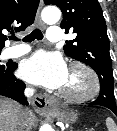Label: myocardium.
<instances>
[{"instance_id":"obj_1","label":"myocardium","mask_w":117,"mask_h":131,"mask_svg":"<svg viewBox=\"0 0 117 131\" xmlns=\"http://www.w3.org/2000/svg\"><path fill=\"white\" fill-rule=\"evenodd\" d=\"M69 70L82 72L87 79V87L84 91L79 93L60 89L59 95L61 97L72 102H85L97 96L100 91V81L98 75L92 68L81 62H74L70 65Z\"/></svg>"}]
</instances>
